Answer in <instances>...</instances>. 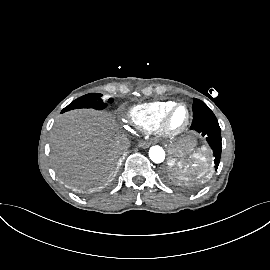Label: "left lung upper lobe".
Wrapping results in <instances>:
<instances>
[{"label":"left lung upper lobe","mask_w":270,"mask_h":270,"mask_svg":"<svg viewBox=\"0 0 270 270\" xmlns=\"http://www.w3.org/2000/svg\"><path fill=\"white\" fill-rule=\"evenodd\" d=\"M193 101V122L191 127H195L206 122L217 121L214 113L204 102L195 98Z\"/></svg>","instance_id":"1"}]
</instances>
